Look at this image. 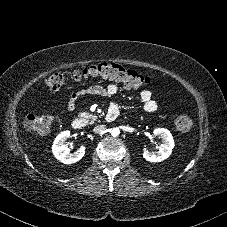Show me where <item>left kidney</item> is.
<instances>
[{
  "mask_svg": "<svg viewBox=\"0 0 227 227\" xmlns=\"http://www.w3.org/2000/svg\"><path fill=\"white\" fill-rule=\"evenodd\" d=\"M153 133L162 139V144L157 152H150L145 148L143 150V157L150 162H161L171 155L174 148V139L170 131L164 128L155 129Z\"/></svg>",
  "mask_w": 227,
  "mask_h": 227,
  "instance_id": "1",
  "label": "left kidney"
}]
</instances>
